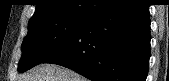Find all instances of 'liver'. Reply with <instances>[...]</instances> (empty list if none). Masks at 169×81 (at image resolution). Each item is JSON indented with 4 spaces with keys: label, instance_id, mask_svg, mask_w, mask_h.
<instances>
[{
    "label": "liver",
    "instance_id": "liver-1",
    "mask_svg": "<svg viewBox=\"0 0 169 81\" xmlns=\"http://www.w3.org/2000/svg\"><path fill=\"white\" fill-rule=\"evenodd\" d=\"M19 81H86V79L59 65L40 64L23 74Z\"/></svg>",
    "mask_w": 169,
    "mask_h": 81
}]
</instances>
